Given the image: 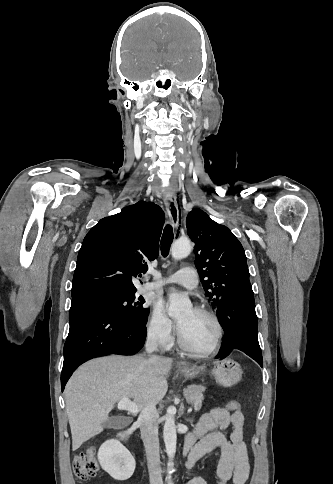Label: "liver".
<instances>
[{
  "mask_svg": "<svg viewBox=\"0 0 333 484\" xmlns=\"http://www.w3.org/2000/svg\"><path fill=\"white\" fill-rule=\"evenodd\" d=\"M172 363L169 358L138 355L97 358L82 365L64 391L73 450L102 432L104 421L121 399H133L139 409L161 402Z\"/></svg>",
  "mask_w": 333,
  "mask_h": 484,
  "instance_id": "obj_1",
  "label": "liver"
}]
</instances>
